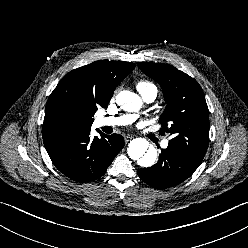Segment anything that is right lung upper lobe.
<instances>
[{
    "label": "right lung upper lobe",
    "mask_w": 248,
    "mask_h": 248,
    "mask_svg": "<svg viewBox=\"0 0 248 248\" xmlns=\"http://www.w3.org/2000/svg\"><path fill=\"white\" fill-rule=\"evenodd\" d=\"M134 68L132 62L99 60L65 75L46 103L44 144L90 130L86 117L71 122L63 117L64 112L88 114L92 109L106 107L115 88Z\"/></svg>",
    "instance_id": "right-lung-upper-lobe-1"
}]
</instances>
